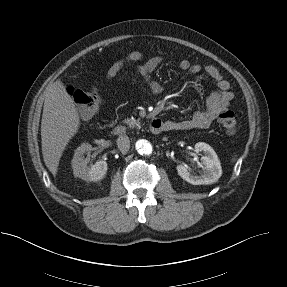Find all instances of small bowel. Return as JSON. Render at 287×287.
I'll list each match as a JSON object with an SVG mask.
<instances>
[{
	"instance_id": "1",
	"label": "small bowel",
	"mask_w": 287,
	"mask_h": 287,
	"mask_svg": "<svg viewBox=\"0 0 287 287\" xmlns=\"http://www.w3.org/2000/svg\"><path fill=\"white\" fill-rule=\"evenodd\" d=\"M161 56L148 57L139 51H132L125 57L111 64L106 72V79L114 78L126 65L135 63L136 72L144 79L152 95H159L162 86L153 79V72L161 65ZM179 68L191 75L204 72L216 84L217 89L212 92L206 100V106L202 110L195 111L190 117L182 120H166L163 122L164 130H188L203 129L209 127L216 119L217 115L226 110L234 98L230 89V83L221 75L219 70L207 65L203 67L198 63H191L183 59L179 62Z\"/></svg>"
}]
</instances>
